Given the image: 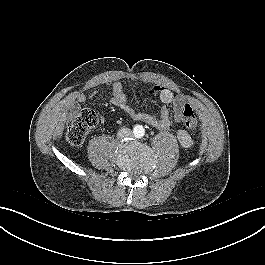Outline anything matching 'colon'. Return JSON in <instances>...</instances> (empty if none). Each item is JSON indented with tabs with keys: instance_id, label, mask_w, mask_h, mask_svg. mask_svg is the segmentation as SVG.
Segmentation results:
<instances>
[{
	"instance_id": "1",
	"label": "colon",
	"mask_w": 265,
	"mask_h": 265,
	"mask_svg": "<svg viewBox=\"0 0 265 265\" xmlns=\"http://www.w3.org/2000/svg\"><path fill=\"white\" fill-rule=\"evenodd\" d=\"M160 88H155L154 92H159ZM184 125L189 130L198 127L197 116L191 105L186 104L183 108ZM97 115L92 109H82L72 114L67 122V139L72 145H80L86 135L96 126Z\"/></svg>"
}]
</instances>
